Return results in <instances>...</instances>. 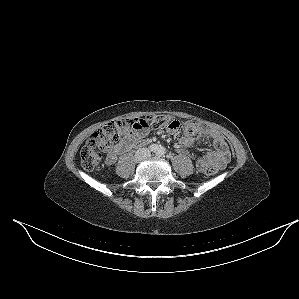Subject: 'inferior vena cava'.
<instances>
[{
  "instance_id": "602c4592",
  "label": "inferior vena cava",
  "mask_w": 299,
  "mask_h": 299,
  "mask_svg": "<svg viewBox=\"0 0 299 299\" xmlns=\"http://www.w3.org/2000/svg\"><path fill=\"white\" fill-rule=\"evenodd\" d=\"M149 156H150V151L147 148H140L135 153V159L137 161H143V160L147 159Z\"/></svg>"
}]
</instances>
